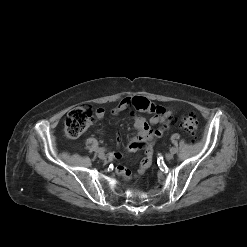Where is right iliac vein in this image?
I'll use <instances>...</instances> for the list:
<instances>
[{
  "label": "right iliac vein",
  "mask_w": 247,
  "mask_h": 247,
  "mask_svg": "<svg viewBox=\"0 0 247 247\" xmlns=\"http://www.w3.org/2000/svg\"><path fill=\"white\" fill-rule=\"evenodd\" d=\"M98 157H99L100 159H105L106 155H105L104 152H98Z\"/></svg>",
  "instance_id": "obj_1"
}]
</instances>
